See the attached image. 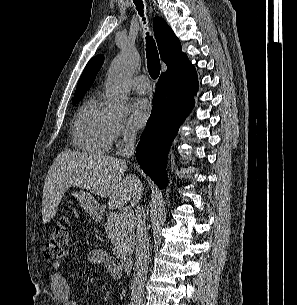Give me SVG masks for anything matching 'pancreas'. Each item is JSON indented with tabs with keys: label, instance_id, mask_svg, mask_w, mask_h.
I'll use <instances>...</instances> for the list:
<instances>
[{
	"label": "pancreas",
	"instance_id": "cf45deb5",
	"mask_svg": "<svg viewBox=\"0 0 297 305\" xmlns=\"http://www.w3.org/2000/svg\"><path fill=\"white\" fill-rule=\"evenodd\" d=\"M111 212L105 222V232L114 245V254L118 258L130 255L135 244L134 222L132 216Z\"/></svg>",
	"mask_w": 297,
	"mask_h": 305
}]
</instances>
